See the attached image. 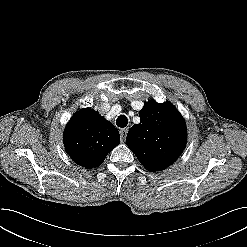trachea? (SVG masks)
<instances>
[{"instance_id": "3493384b", "label": "trachea", "mask_w": 247, "mask_h": 247, "mask_svg": "<svg viewBox=\"0 0 247 247\" xmlns=\"http://www.w3.org/2000/svg\"><path fill=\"white\" fill-rule=\"evenodd\" d=\"M128 124V119L125 115H120L116 120V125L118 127L124 128Z\"/></svg>"}]
</instances>
